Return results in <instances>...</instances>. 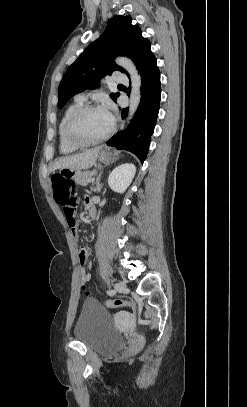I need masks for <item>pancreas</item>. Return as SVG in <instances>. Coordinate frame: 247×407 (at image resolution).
<instances>
[{
    "mask_svg": "<svg viewBox=\"0 0 247 407\" xmlns=\"http://www.w3.org/2000/svg\"><path fill=\"white\" fill-rule=\"evenodd\" d=\"M95 171L90 172V171H86L83 173H80L76 178H75V182L81 186H86L89 183V179L92 178L93 175H95Z\"/></svg>",
    "mask_w": 247,
    "mask_h": 407,
    "instance_id": "1",
    "label": "pancreas"
}]
</instances>
